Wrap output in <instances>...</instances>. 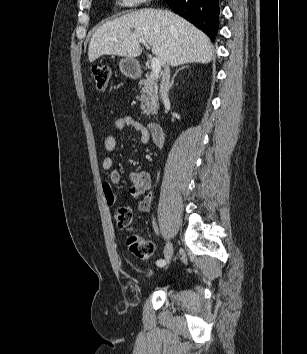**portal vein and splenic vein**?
Returning a JSON list of instances; mask_svg holds the SVG:
<instances>
[{"label": "portal vein and splenic vein", "mask_w": 307, "mask_h": 354, "mask_svg": "<svg viewBox=\"0 0 307 354\" xmlns=\"http://www.w3.org/2000/svg\"><path fill=\"white\" fill-rule=\"evenodd\" d=\"M139 42L145 45L147 49H150V47L147 45L144 39H139ZM151 68H152V75L153 76H158L160 70H161V63L160 60L157 57H153L151 60Z\"/></svg>", "instance_id": "18ae733b"}]
</instances>
